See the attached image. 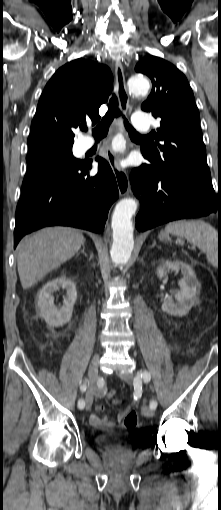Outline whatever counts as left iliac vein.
<instances>
[{"instance_id":"left-iliac-vein-1","label":"left iliac vein","mask_w":221,"mask_h":510,"mask_svg":"<svg viewBox=\"0 0 221 510\" xmlns=\"http://www.w3.org/2000/svg\"><path fill=\"white\" fill-rule=\"evenodd\" d=\"M119 377L128 384H131L134 380V374L132 372L119 373ZM142 414L146 418H152L154 416L153 410L146 404L142 406Z\"/></svg>"}]
</instances>
